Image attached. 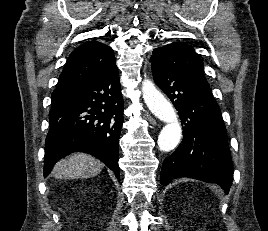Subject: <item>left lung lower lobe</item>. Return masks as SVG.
<instances>
[{"label":"left lung lower lobe","mask_w":268,"mask_h":231,"mask_svg":"<svg viewBox=\"0 0 268 231\" xmlns=\"http://www.w3.org/2000/svg\"><path fill=\"white\" fill-rule=\"evenodd\" d=\"M158 87L170 98L181 119L183 142L162 165L160 182L179 177L219 184L228 193L233 163L221 111L211 88L151 58Z\"/></svg>","instance_id":"obj_1"}]
</instances>
